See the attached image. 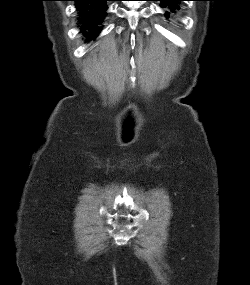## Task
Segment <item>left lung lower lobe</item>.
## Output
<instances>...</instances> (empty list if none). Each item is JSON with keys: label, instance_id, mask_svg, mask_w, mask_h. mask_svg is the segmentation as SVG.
Instances as JSON below:
<instances>
[{"label": "left lung lower lobe", "instance_id": "obj_1", "mask_svg": "<svg viewBox=\"0 0 250 285\" xmlns=\"http://www.w3.org/2000/svg\"><path fill=\"white\" fill-rule=\"evenodd\" d=\"M157 1H161V6L162 7H167L170 9V12H166V17L169 18V14L172 12H175L176 10L179 9V7L177 6V3L180 1H186V0H157ZM167 3V4H166Z\"/></svg>", "mask_w": 250, "mask_h": 285}]
</instances>
